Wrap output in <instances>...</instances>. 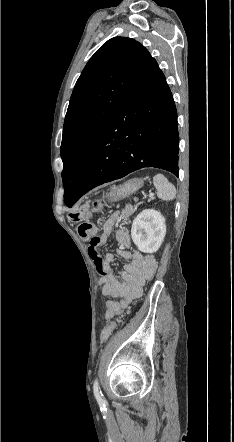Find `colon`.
<instances>
[{"mask_svg":"<svg viewBox=\"0 0 234 442\" xmlns=\"http://www.w3.org/2000/svg\"><path fill=\"white\" fill-rule=\"evenodd\" d=\"M95 207L99 208L98 202L95 203ZM78 233L83 239L89 241L91 246L96 245L99 241V237L97 235V229H96L95 225L92 223L86 222V223L80 224L78 227ZM120 322H121V320H116V321L106 325L103 328V330L101 332V336H100L102 342H105L108 340V338L111 336V334L115 330L117 324H119Z\"/></svg>","mask_w":234,"mask_h":442,"instance_id":"colon-1","label":"colon"}]
</instances>
